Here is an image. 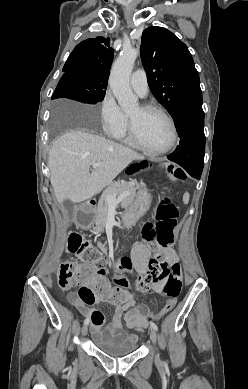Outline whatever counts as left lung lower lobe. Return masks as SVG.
I'll return each mask as SVG.
<instances>
[{
	"label": "left lung lower lobe",
	"mask_w": 248,
	"mask_h": 389,
	"mask_svg": "<svg viewBox=\"0 0 248 389\" xmlns=\"http://www.w3.org/2000/svg\"><path fill=\"white\" fill-rule=\"evenodd\" d=\"M180 145L167 158L200 179L204 166L205 135L202 99L185 104L173 117Z\"/></svg>",
	"instance_id": "1"
}]
</instances>
